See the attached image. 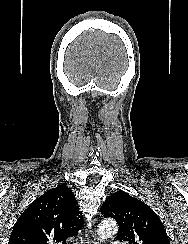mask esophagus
Wrapping results in <instances>:
<instances>
[{
	"label": "esophagus",
	"mask_w": 188,
	"mask_h": 244,
	"mask_svg": "<svg viewBox=\"0 0 188 244\" xmlns=\"http://www.w3.org/2000/svg\"><path fill=\"white\" fill-rule=\"evenodd\" d=\"M88 244H99L98 237L94 230L86 229L85 231Z\"/></svg>",
	"instance_id": "esophagus-1"
}]
</instances>
